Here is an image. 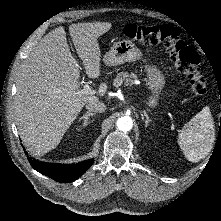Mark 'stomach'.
Masks as SVG:
<instances>
[{
  "label": "stomach",
  "instance_id": "1",
  "mask_svg": "<svg viewBox=\"0 0 221 221\" xmlns=\"http://www.w3.org/2000/svg\"><path fill=\"white\" fill-rule=\"evenodd\" d=\"M142 57V52L131 40H122L113 44L104 55L103 61L107 66H117L125 62H134ZM147 85L151 95L147 100L150 108L158 105L160 93L165 85V76L155 66H147Z\"/></svg>",
  "mask_w": 221,
  "mask_h": 221
}]
</instances>
